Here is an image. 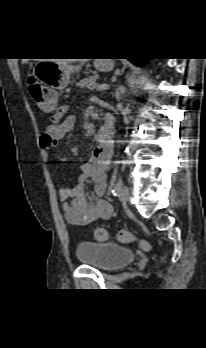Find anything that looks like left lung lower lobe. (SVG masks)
<instances>
[{"instance_id":"obj_1","label":"left lung lower lobe","mask_w":206,"mask_h":348,"mask_svg":"<svg viewBox=\"0 0 206 348\" xmlns=\"http://www.w3.org/2000/svg\"><path fill=\"white\" fill-rule=\"evenodd\" d=\"M132 63L142 66L144 62H146L148 59H142V58H132L129 59Z\"/></svg>"}]
</instances>
